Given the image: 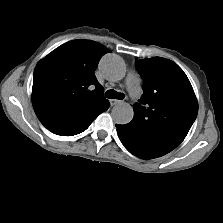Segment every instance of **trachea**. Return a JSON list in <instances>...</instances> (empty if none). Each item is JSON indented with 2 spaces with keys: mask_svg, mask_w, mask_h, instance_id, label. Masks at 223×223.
<instances>
[{
  "mask_svg": "<svg viewBox=\"0 0 223 223\" xmlns=\"http://www.w3.org/2000/svg\"><path fill=\"white\" fill-rule=\"evenodd\" d=\"M105 96L106 98L109 99H118V100H122L125 97L123 93H119L113 89L106 91Z\"/></svg>",
  "mask_w": 223,
  "mask_h": 223,
  "instance_id": "3493384b",
  "label": "trachea"
}]
</instances>
